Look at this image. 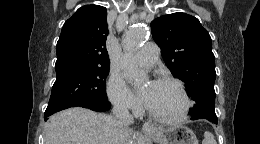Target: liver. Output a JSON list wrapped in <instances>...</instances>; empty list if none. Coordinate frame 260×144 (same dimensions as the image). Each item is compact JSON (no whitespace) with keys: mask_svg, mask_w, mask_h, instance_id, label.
I'll use <instances>...</instances> for the list:
<instances>
[{"mask_svg":"<svg viewBox=\"0 0 260 144\" xmlns=\"http://www.w3.org/2000/svg\"><path fill=\"white\" fill-rule=\"evenodd\" d=\"M44 131L46 144H127L130 130L114 116L73 107L52 115Z\"/></svg>","mask_w":260,"mask_h":144,"instance_id":"obj_1","label":"liver"}]
</instances>
